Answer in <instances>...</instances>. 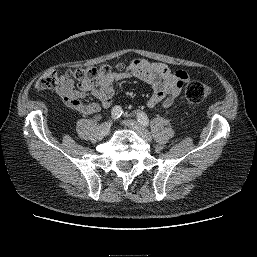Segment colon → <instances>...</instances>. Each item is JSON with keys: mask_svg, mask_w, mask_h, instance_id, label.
<instances>
[{"mask_svg": "<svg viewBox=\"0 0 257 257\" xmlns=\"http://www.w3.org/2000/svg\"><path fill=\"white\" fill-rule=\"evenodd\" d=\"M110 65L88 66L75 68L68 71V76L75 79L79 84L90 85L105 78L113 72ZM116 69L123 70L122 65H117ZM58 75L55 71H48L39 79L37 85L40 89H54L58 85ZM211 93L210 87L199 81H191L185 88V98L190 103H200L207 99Z\"/></svg>", "mask_w": 257, "mask_h": 257, "instance_id": "obj_1", "label": "colon"}]
</instances>
